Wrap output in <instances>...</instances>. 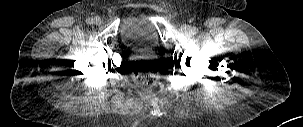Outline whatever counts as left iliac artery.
Returning <instances> with one entry per match:
<instances>
[{"mask_svg": "<svg viewBox=\"0 0 303 127\" xmlns=\"http://www.w3.org/2000/svg\"><path fill=\"white\" fill-rule=\"evenodd\" d=\"M192 33H193V34H197V33H198V29H197L196 27H193Z\"/></svg>", "mask_w": 303, "mask_h": 127, "instance_id": "obj_1", "label": "left iliac artery"}]
</instances>
